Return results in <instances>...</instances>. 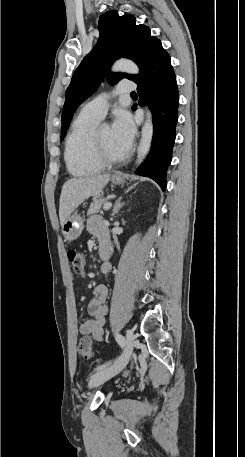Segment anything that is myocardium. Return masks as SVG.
<instances>
[{
    "label": "myocardium",
    "mask_w": 245,
    "mask_h": 457,
    "mask_svg": "<svg viewBox=\"0 0 245 457\" xmlns=\"http://www.w3.org/2000/svg\"><path fill=\"white\" fill-rule=\"evenodd\" d=\"M96 128H92L85 139V152L86 159L97 167H105L116 164L128 158V152L119 156H100L96 152Z\"/></svg>",
    "instance_id": "myocardium-1"
}]
</instances>
